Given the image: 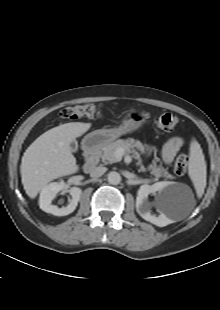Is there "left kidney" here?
Returning <instances> with one entry per match:
<instances>
[{"label": "left kidney", "mask_w": 220, "mask_h": 310, "mask_svg": "<svg viewBox=\"0 0 220 310\" xmlns=\"http://www.w3.org/2000/svg\"><path fill=\"white\" fill-rule=\"evenodd\" d=\"M174 183L172 182H157L153 185H142L137 194L136 198V208L140 216L149 221L150 223L164 227L168 225L171 220L166 216L164 210L165 207L169 204L168 194L173 190ZM159 193V196L156 199V207L159 211V215L156 217L150 213V205L147 202V197L150 193Z\"/></svg>", "instance_id": "1"}]
</instances>
